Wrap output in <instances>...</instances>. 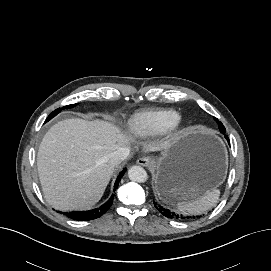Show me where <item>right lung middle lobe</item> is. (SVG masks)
<instances>
[{"instance_id":"obj_1","label":"right lung middle lobe","mask_w":271,"mask_h":271,"mask_svg":"<svg viewBox=\"0 0 271 271\" xmlns=\"http://www.w3.org/2000/svg\"><path fill=\"white\" fill-rule=\"evenodd\" d=\"M74 106H76V104H72V105H68V106H65V107L56 109L55 111H53V112L48 116V118L46 119L45 122L49 121V120L52 119L54 116H56L58 113H60L62 109L72 108V107H74Z\"/></svg>"}]
</instances>
